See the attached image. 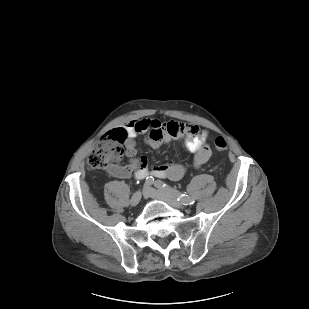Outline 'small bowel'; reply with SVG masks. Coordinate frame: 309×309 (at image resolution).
I'll list each match as a JSON object with an SVG mask.
<instances>
[{
  "instance_id": "small-bowel-1",
  "label": "small bowel",
  "mask_w": 309,
  "mask_h": 309,
  "mask_svg": "<svg viewBox=\"0 0 309 309\" xmlns=\"http://www.w3.org/2000/svg\"><path fill=\"white\" fill-rule=\"evenodd\" d=\"M116 131L125 135L126 156L129 160L128 164L111 170V174L117 178L134 175L136 179H144L151 175L177 181L185 175L187 168L182 163L170 162L149 166L146 157H137L135 140L140 134H146V143L153 148H158L162 143L182 139L186 149L193 154L191 167L194 169L203 167L211 155V150L206 144L207 131L195 124L185 125L175 120L163 124L157 119L139 118L124 124Z\"/></svg>"
}]
</instances>
